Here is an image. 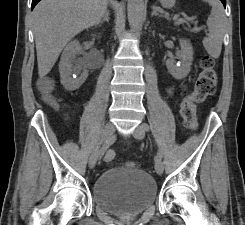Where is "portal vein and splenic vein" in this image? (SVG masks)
I'll list each match as a JSON object with an SVG mask.
<instances>
[{
    "mask_svg": "<svg viewBox=\"0 0 245 225\" xmlns=\"http://www.w3.org/2000/svg\"><path fill=\"white\" fill-rule=\"evenodd\" d=\"M186 19L192 20V18H186ZM186 19H184V18H178V15H175L174 16V20L176 21V24H181V23L185 22Z\"/></svg>",
    "mask_w": 245,
    "mask_h": 225,
    "instance_id": "obj_1",
    "label": "portal vein and splenic vein"
}]
</instances>
